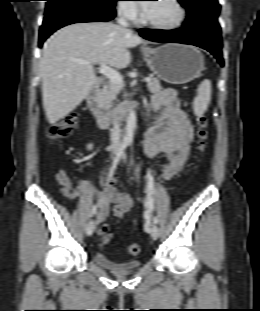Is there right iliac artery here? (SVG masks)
Masks as SVG:
<instances>
[{
  "mask_svg": "<svg viewBox=\"0 0 260 311\" xmlns=\"http://www.w3.org/2000/svg\"><path fill=\"white\" fill-rule=\"evenodd\" d=\"M128 146V142L127 141H122L118 147V150L116 152V157L114 158L113 162H112V165H111V168H110V172H109V178H111L113 176V173L118 165V162L121 158V156H123L124 154V151L126 149V147ZM97 211V205H95L93 208H92V214L91 216H93Z\"/></svg>",
  "mask_w": 260,
  "mask_h": 311,
  "instance_id": "1",
  "label": "right iliac artery"
}]
</instances>
